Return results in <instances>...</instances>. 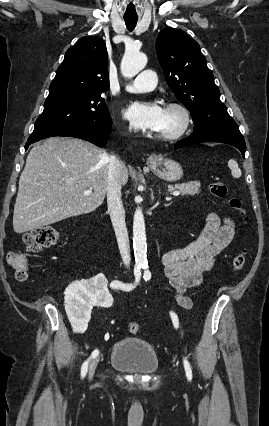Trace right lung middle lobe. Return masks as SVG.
Instances as JSON below:
<instances>
[{
	"label": "right lung middle lobe",
	"instance_id": "obj_1",
	"mask_svg": "<svg viewBox=\"0 0 269 426\" xmlns=\"http://www.w3.org/2000/svg\"><path fill=\"white\" fill-rule=\"evenodd\" d=\"M103 93L61 90L49 93L43 113L38 117L28 140L67 130L81 124H106L111 121Z\"/></svg>",
	"mask_w": 269,
	"mask_h": 426
}]
</instances>
